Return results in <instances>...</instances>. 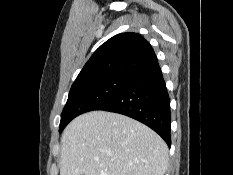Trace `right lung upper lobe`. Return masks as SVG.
I'll return each mask as SVG.
<instances>
[{"mask_svg": "<svg viewBox=\"0 0 233 175\" xmlns=\"http://www.w3.org/2000/svg\"><path fill=\"white\" fill-rule=\"evenodd\" d=\"M157 64L155 52L147 40L136 33H121L94 52L75 82L110 74L135 77Z\"/></svg>", "mask_w": 233, "mask_h": 175, "instance_id": "obj_1", "label": "right lung upper lobe"}]
</instances>
